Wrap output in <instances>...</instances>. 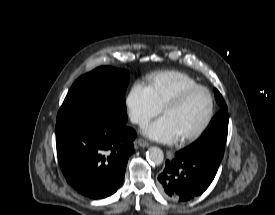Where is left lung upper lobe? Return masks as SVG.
<instances>
[{"mask_svg":"<svg viewBox=\"0 0 275 215\" xmlns=\"http://www.w3.org/2000/svg\"><path fill=\"white\" fill-rule=\"evenodd\" d=\"M214 92L221 109L201 137L184 148L183 151L191 156L208 159L220 165L227 140L229 115L222 95L217 89Z\"/></svg>","mask_w":275,"mask_h":215,"instance_id":"5c2ea615","label":"left lung upper lobe"}]
</instances>
